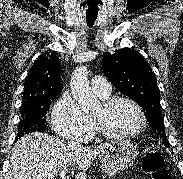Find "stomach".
<instances>
[{
	"instance_id": "0dacf381",
	"label": "stomach",
	"mask_w": 183,
	"mask_h": 179,
	"mask_svg": "<svg viewBox=\"0 0 183 179\" xmlns=\"http://www.w3.org/2000/svg\"><path fill=\"white\" fill-rule=\"evenodd\" d=\"M137 147L130 141L110 142L99 154L100 166L104 173L114 175L127 169L137 157Z\"/></svg>"
}]
</instances>
